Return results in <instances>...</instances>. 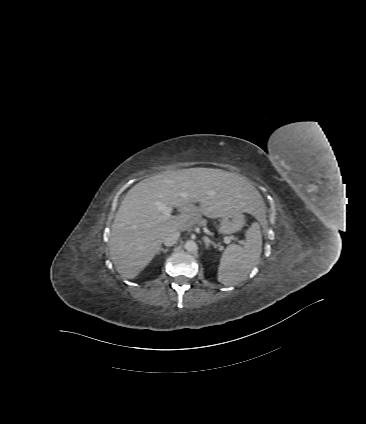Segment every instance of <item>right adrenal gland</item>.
Segmentation results:
<instances>
[{"label": "right adrenal gland", "mask_w": 366, "mask_h": 424, "mask_svg": "<svg viewBox=\"0 0 366 424\" xmlns=\"http://www.w3.org/2000/svg\"><path fill=\"white\" fill-rule=\"evenodd\" d=\"M168 250H169L168 248L164 249V248H162V247H161V248L159 249V251L157 252V254L159 255V254H160V252H162V251H163L164 253H167V252H168Z\"/></svg>", "instance_id": "obj_1"}]
</instances>
